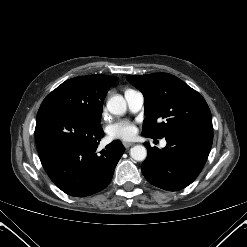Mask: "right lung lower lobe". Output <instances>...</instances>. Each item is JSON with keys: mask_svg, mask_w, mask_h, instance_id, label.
<instances>
[{"mask_svg": "<svg viewBox=\"0 0 247 247\" xmlns=\"http://www.w3.org/2000/svg\"><path fill=\"white\" fill-rule=\"evenodd\" d=\"M104 132L85 117L61 107H40L35 140L44 170L68 195L85 197L104 189L124 153L113 141L96 152Z\"/></svg>", "mask_w": 247, "mask_h": 247, "instance_id": "right-lung-lower-lobe-1", "label": "right lung lower lobe"}]
</instances>
